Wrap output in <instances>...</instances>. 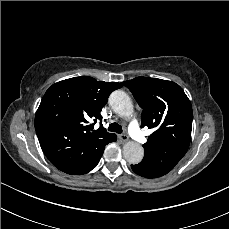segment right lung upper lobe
<instances>
[{
	"label": "right lung upper lobe",
	"mask_w": 229,
	"mask_h": 229,
	"mask_svg": "<svg viewBox=\"0 0 229 229\" xmlns=\"http://www.w3.org/2000/svg\"><path fill=\"white\" fill-rule=\"evenodd\" d=\"M122 84L88 76L53 84L43 96L35 116V130L42 151L59 170L77 174L115 134L103 125L93 130L88 120H101V109L110 93Z\"/></svg>",
	"instance_id": "cb5924a9"
}]
</instances>
